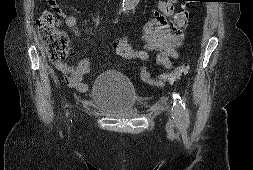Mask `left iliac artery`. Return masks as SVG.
<instances>
[{"label": "left iliac artery", "instance_id": "obj_1", "mask_svg": "<svg viewBox=\"0 0 253 170\" xmlns=\"http://www.w3.org/2000/svg\"><path fill=\"white\" fill-rule=\"evenodd\" d=\"M173 108L172 111L176 114L179 115V117L182 119L183 122H188L186 120L188 117L187 110L185 109V102L182 100L180 95L178 93L173 94Z\"/></svg>", "mask_w": 253, "mask_h": 170}]
</instances>
